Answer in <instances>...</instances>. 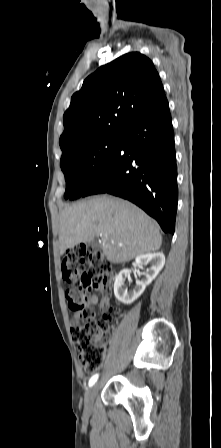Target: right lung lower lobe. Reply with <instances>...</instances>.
I'll list each match as a JSON object with an SVG mask.
<instances>
[{
	"label": "right lung lower lobe",
	"mask_w": 221,
	"mask_h": 448,
	"mask_svg": "<svg viewBox=\"0 0 221 448\" xmlns=\"http://www.w3.org/2000/svg\"><path fill=\"white\" fill-rule=\"evenodd\" d=\"M110 193L125 198L174 233L178 202L174 133L165 98L130 121L82 197Z\"/></svg>",
	"instance_id": "98d812e1"
}]
</instances>
